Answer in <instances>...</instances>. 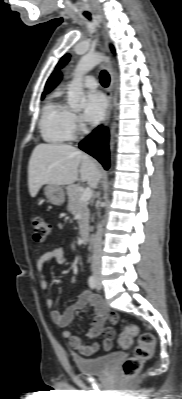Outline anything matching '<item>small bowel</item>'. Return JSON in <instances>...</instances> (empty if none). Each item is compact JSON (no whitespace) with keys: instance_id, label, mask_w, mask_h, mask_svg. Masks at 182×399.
I'll return each mask as SVG.
<instances>
[{"instance_id":"obj_1","label":"small bowel","mask_w":182,"mask_h":399,"mask_svg":"<svg viewBox=\"0 0 182 399\" xmlns=\"http://www.w3.org/2000/svg\"><path fill=\"white\" fill-rule=\"evenodd\" d=\"M55 261L58 264H65L69 261L65 255L62 247H57L42 253L37 260V269L40 272V287L42 289L48 288V282L44 276L45 264L49 261ZM88 304H91L95 311V318L91 322L87 336L90 339H96L102 336L100 341L93 342L91 344L85 343L83 339L69 330H64L62 335L69 342L72 349L78 351L85 356H94L101 349L110 350L115 337V330L109 326L105 327L106 321L111 324H115L119 320L118 314L111 312L100 300V298L92 294L88 290H84L78 299L64 311L52 309L50 316L52 321L59 327L65 328L74 320H76L77 312L83 310ZM54 300L52 298L46 299V306L52 308Z\"/></svg>"}]
</instances>
